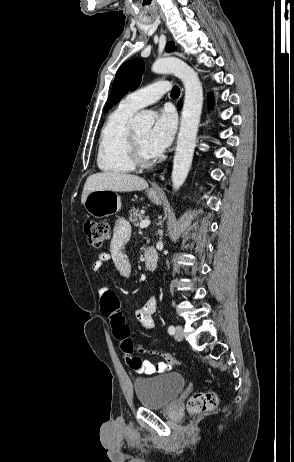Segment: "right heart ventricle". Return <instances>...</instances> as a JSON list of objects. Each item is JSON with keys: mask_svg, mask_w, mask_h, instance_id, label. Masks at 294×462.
Returning <instances> with one entry per match:
<instances>
[{"mask_svg": "<svg viewBox=\"0 0 294 462\" xmlns=\"http://www.w3.org/2000/svg\"><path fill=\"white\" fill-rule=\"evenodd\" d=\"M135 112L121 103L108 116L98 145L97 165L101 171L124 174L135 169L129 156V121Z\"/></svg>", "mask_w": 294, "mask_h": 462, "instance_id": "e07e8e85", "label": "right heart ventricle"}]
</instances>
